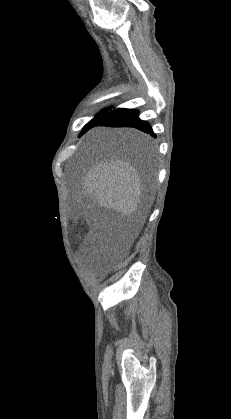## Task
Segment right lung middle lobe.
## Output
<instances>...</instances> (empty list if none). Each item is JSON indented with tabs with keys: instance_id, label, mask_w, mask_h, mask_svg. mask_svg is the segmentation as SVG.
I'll list each match as a JSON object with an SVG mask.
<instances>
[{
	"instance_id": "right-lung-middle-lobe-1",
	"label": "right lung middle lobe",
	"mask_w": 231,
	"mask_h": 419,
	"mask_svg": "<svg viewBox=\"0 0 231 419\" xmlns=\"http://www.w3.org/2000/svg\"><path fill=\"white\" fill-rule=\"evenodd\" d=\"M107 112V110H105V111H102V112H100L99 114H97L96 116H95V118L94 119H92L90 122H88L85 126H84V128H83V130H82V132L80 133V136L81 135H83L86 131H88L90 128H91V126L100 118V116L102 115V114H104V113H106ZM124 142H128V143H130V146L132 147V148H136V147H143V146H145V141H138V140H124Z\"/></svg>"
}]
</instances>
